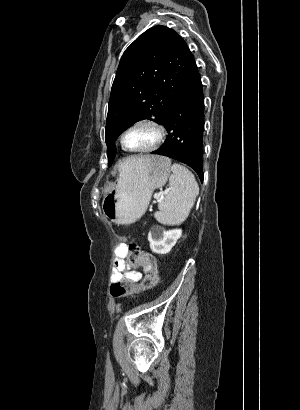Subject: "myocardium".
I'll return each instance as SVG.
<instances>
[{"label": "myocardium", "instance_id": "f54148a6", "mask_svg": "<svg viewBox=\"0 0 300 410\" xmlns=\"http://www.w3.org/2000/svg\"><path fill=\"white\" fill-rule=\"evenodd\" d=\"M138 126H150V127H152L157 133V139L152 145H150L148 147L136 148V149L129 148V147L126 146V144L124 142L125 135L130 130H132L133 128L138 127ZM166 136H167V131H166V128L164 127V125L162 123H160L159 121H157L155 119H152V118H141V119H138V120L132 122L130 125H128L122 131L119 140H120V144H121L122 148L127 152H130V153H149V152H153V151H156L157 149H159L163 145V143L165 142Z\"/></svg>", "mask_w": 300, "mask_h": 410}]
</instances>
